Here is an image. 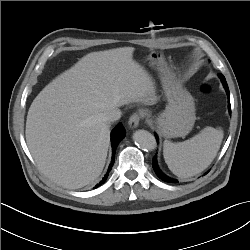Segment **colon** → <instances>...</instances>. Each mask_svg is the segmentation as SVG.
<instances>
[{
  "label": "colon",
  "mask_w": 250,
  "mask_h": 250,
  "mask_svg": "<svg viewBox=\"0 0 250 250\" xmlns=\"http://www.w3.org/2000/svg\"><path fill=\"white\" fill-rule=\"evenodd\" d=\"M201 89H202L203 93H209L210 92V86L209 85H203Z\"/></svg>",
  "instance_id": "colon-1"
}]
</instances>
